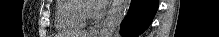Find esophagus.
I'll return each instance as SVG.
<instances>
[{
  "mask_svg": "<svg viewBox=\"0 0 219 37\" xmlns=\"http://www.w3.org/2000/svg\"><path fill=\"white\" fill-rule=\"evenodd\" d=\"M98 28H99V24L96 25L93 29L90 30V35L96 37L98 34Z\"/></svg>",
  "mask_w": 219,
  "mask_h": 37,
  "instance_id": "34e87169",
  "label": "esophagus"
}]
</instances>
